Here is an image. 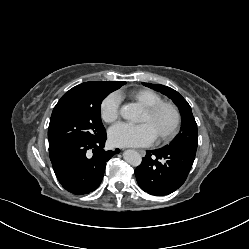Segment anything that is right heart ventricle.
I'll use <instances>...</instances> for the list:
<instances>
[{
    "label": "right heart ventricle",
    "instance_id": "1",
    "mask_svg": "<svg viewBox=\"0 0 249 249\" xmlns=\"http://www.w3.org/2000/svg\"><path fill=\"white\" fill-rule=\"evenodd\" d=\"M128 96L143 107L150 106L162 101V97L157 92L146 88L129 91Z\"/></svg>",
    "mask_w": 249,
    "mask_h": 249
}]
</instances>
